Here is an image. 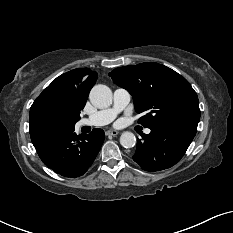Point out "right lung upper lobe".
Listing matches in <instances>:
<instances>
[{
	"instance_id": "cb5924a9",
	"label": "right lung upper lobe",
	"mask_w": 233,
	"mask_h": 233,
	"mask_svg": "<svg viewBox=\"0 0 233 233\" xmlns=\"http://www.w3.org/2000/svg\"><path fill=\"white\" fill-rule=\"evenodd\" d=\"M97 80V73L86 68H77L66 72L43 90L31 106L29 119L36 108L45 102H55L67 109L74 116L80 117L89 92Z\"/></svg>"
}]
</instances>
